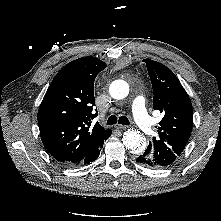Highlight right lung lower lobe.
<instances>
[{
  "label": "right lung lower lobe",
  "instance_id": "1",
  "mask_svg": "<svg viewBox=\"0 0 221 221\" xmlns=\"http://www.w3.org/2000/svg\"><path fill=\"white\" fill-rule=\"evenodd\" d=\"M110 135H111V130H108V134H107V136H106L105 139H107L108 137H110ZM105 139H104V140H105ZM103 144H104V141H103V143H102L96 150H94L93 152H91L90 154H88V155L83 159V161L80 162V163L77 164V165H80V164H88V163L94 161L96 158H98V156H99V154H100V150H101V148L103 147Z\"/></svg>",
  "mask_w": 221,
  "mask_h": 221
}]
</instances>
